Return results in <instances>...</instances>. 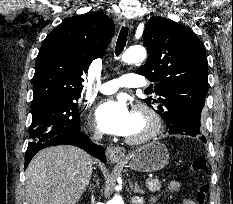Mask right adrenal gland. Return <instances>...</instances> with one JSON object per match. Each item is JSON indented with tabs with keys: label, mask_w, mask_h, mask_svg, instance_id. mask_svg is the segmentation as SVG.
Masks as SVG:
<instances>
[{
	"label": "right adrenal gland",
	"mask_w": 233,
	"mask_h": 204,
	"mask_svg": "<svg viewBox=\"0 0 233 204\" xmlns=\"http://www.w3.org/2000/svg\"><path fill=\"white\" fill-rule=\"evenodd\" d=\"M97 185H98V181H97ZM89 189H90L91 191H94V190H92L93 188H91V187H90Z\"/></svg>",
	"instance_id": "2a0ac1e0"
}]
</instances>
